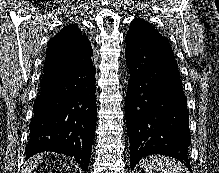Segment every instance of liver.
I'll use <instances>...</instances> for the list:
<instances>
[{
  "label": "liver",
  "instance_id": "6515ba94",
  "mask_svg": "<svg viewBox=\"0 0 219 173\" xmlns=\"http://www.w3.org/2000/svg\"><path fill=\"white\" fill-rule=\"evenodd\" d=\"M38 160H39V156H37L36 158H34V162H30V163H29V164H30V167L34 166V165L37 163Z\"/></svg>",
  "mask_w": 219,
  "mask_h": 173
}]
</instances>
